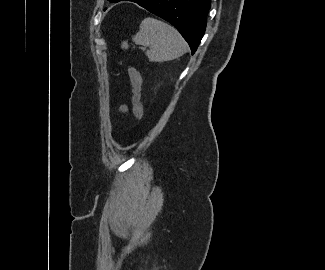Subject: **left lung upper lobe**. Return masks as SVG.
Here are the masks:
<instances>
[{
    "instance_id": "obj_1",
    "label": "left lung upper lobe",
    "mask_w": 325,
    "mask_h": 270,
    "mask_svg": "<svg viewBox=\"0 0 325 270\" xmlns=\"http://www.w3.org/2000/svg\"><path fill=\"white\" fill-rule=\"evenodd\" d=\"M110 2H113V3H116L118 2L119 0H109Z\"/></svg>"
}]
</instances>
